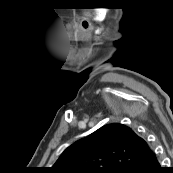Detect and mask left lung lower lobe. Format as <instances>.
<instances>
[{"label":"left lung lower lobe","mask_w":173,"mask_h":173,"mask_svg":"<svg viewBox=\"0 0 173 173\" xmlns=\"http://www.w3.org/2000/svg\"><path fill=\"white\" fill-rule=\"evenodd\" d=\"M164 168L160 166L157 156L154 151L146 158L143 165L136 171V173H163Z\"/></svg>","instance_id":"1"}]
</instances>
